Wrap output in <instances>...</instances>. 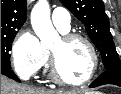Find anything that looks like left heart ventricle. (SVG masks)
I'll return each mask as SVG.
<instances>
[{"label": "left heart ventricle", "instance_id": "obj_1", "mask_svg": "<svg viewBox=\"0 0 121 94\" xmlns=\"http://www.w3.org/2000/svg\"><path fill=\"white\" fill-rule=\"evenodd\" d=\"M51 50L56 54L62 76L72 82L85 79L91 70V57L80 40L64 42L60 38Z\"/></svg>", "mask_w": 121, "mask_h": 94}]
</instances>
